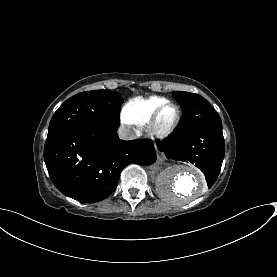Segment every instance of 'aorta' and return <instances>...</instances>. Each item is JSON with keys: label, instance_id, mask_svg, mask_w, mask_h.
Wrapping results in <instances>:
<instances>
[{"label": "aorta", "instance_id": "obj_1", "mask_svg": "<svg viewBox=\"0 0 277 277\" xmlns=\"http://www.w3.org/2000/svg\"><path fill=\"white\" fill-rule=\"evenodd\" d=\"M157 189L166 201L179 205L203 195L207 185L202 173L197 169L173 163L159 174Z\"/></svg>", "mask_w": 277, "mask_h": 277}]
</instances>
